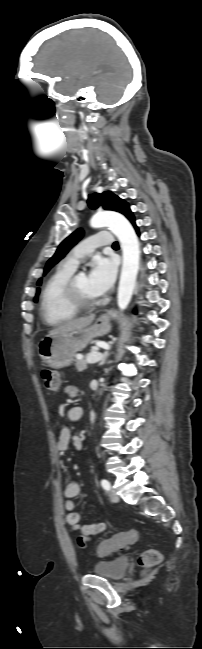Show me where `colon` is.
Returning <instances> with one entry per match:
<instances>
[{"instance_id":"obj_1","label":"colon","mask_w":202,"mask_h":649,"mask_svg":"<svg viewBox=\"0 0 202 649\" xmlns=\"http://www.w3.org/2000/svg\"><path fill=\"white\" fill-rule=\"evenodd\" d=\"M41 380L45 389L57 391L61 386V378L58 371L45 368L41 371ZM137 539V533L134 530L123 531L113 535L111 538L103 541L98 546V552L101 555H110L115 551L126 549ZM162 560V555L158 550L149 549L144 551L138 558V563L145 569H151Z\"/></svg>"}]
</instances>
